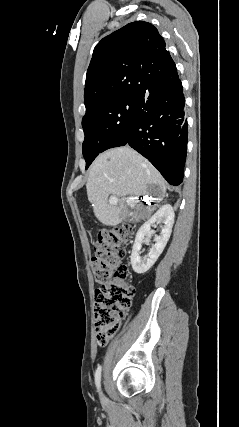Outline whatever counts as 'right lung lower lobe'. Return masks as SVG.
Listing matches in <instances>:
<instances>
[{
  "mask_svg": "<svg viewBox=\"0 0 239 427\" xmlns=\"http://www.w3.org/2000/svg\"><path fill=\"white\" fill-rule=\"evenodd\" d=\"M185 97L178 76L157 83L137 98L128 139L171 185L183 181L187 154L188 126Z\"/></svg>",
  "mask_w": 239,
  "mask_h": 427,
  "instance_id": "1",
  "label": "right lung lower lobe"
}]
</instances>
